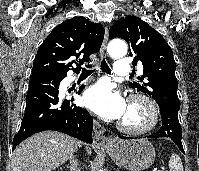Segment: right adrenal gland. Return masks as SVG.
<instances>
[{"mask_svg": "<svg viewBox=\"0 0 199 171\" xmlns=\"http://www.w3.org/2000/svg\"><path fill=\"white\" fill-rule=\"evenodd\" d=\"M69 165H67V168L70 170V171H80L79 168H78V162H77V159L74 158V156H71L70 159H69Z\"/></svg>", "mask_w": 199, "mask_h": 171, "instance_id": "1", "label": "right adrenal gland"}]
</instances>
